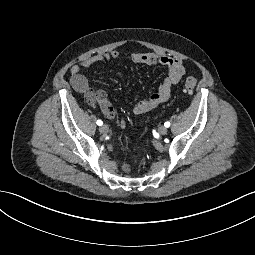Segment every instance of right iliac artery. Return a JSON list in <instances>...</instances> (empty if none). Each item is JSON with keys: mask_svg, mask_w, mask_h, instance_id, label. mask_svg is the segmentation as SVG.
Here are the masks:
<instances>
[{"mask_svg": "<svg viewBox=\"0 0 255 255\" xmlns=\"http://www.w3.org/2000/svg\"><path fill=\"white\" fill-rule=\"evenodd\" d=\"M97 125L101 126L103 124V122L101 120H97Z\"/></svg>", "mask_w": 255, "mask_h": 255, "instance_id": "82829eb1", "label": "right iliac artery"}]
</instances>
